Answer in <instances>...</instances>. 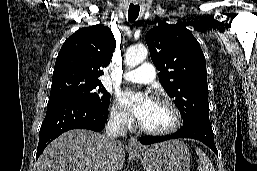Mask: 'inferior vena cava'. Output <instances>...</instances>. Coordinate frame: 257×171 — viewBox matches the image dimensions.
Returning <instances> with one entry per match:
<instances>
[{
  "label": "inferior vena cava",
  "mask_w": 257,
  "mask_h": 171,
  "mask_svg": "<svg viewBox=\"0 0 257 171\" xmlns=\"http://www.w3.org/2000/svg\"><path fill=\"white\" fill-rule=\"evenodd\" d=\"M127 127H126V116L121 114H114L110 116V119L106 125L105 138L108 145L107 155L109 158L108 165L105 168V171H114V168L111 165L114 163L116 157V138L118 136H126Z\"/></svg>",
  "instance_id": "obj_1"
}]
</instances>
